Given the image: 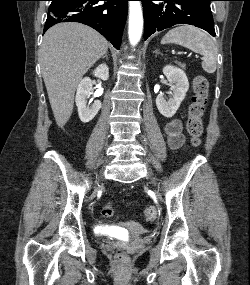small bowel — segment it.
<instances>
[{"label":"small bowel","mask_w":250,"mask_h":285,"mask_svg":"<svg viewBox=\"0 0 250 285\" xmlns=\"http://www.w3.org/2000/svg\"><path fill=\"white\" fill-rule=\"evenodd\" d=\"M165 132L168 138V144L172 149L180 148L184 143L182 134V124L179 119H172L165 126Z\"/></svg>","instance_id":"small-bowel-1"}]
</instances>
